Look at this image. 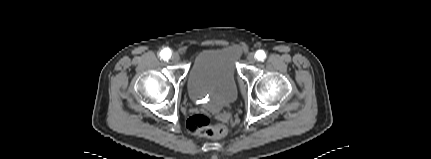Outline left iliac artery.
I'll return each instance as SVG.
<instances>
[{
	"mask_svg": "<svg viewBox=\"0 0 431 159\" xmlns=\"http://www.w3.org/2000/svg\"><path fill=\"white\" fill-rule=\"evenodd\" d=\"M256 58H257L258 60L263 61V60L266 58V54H265V52H264L263 50H258V51L256 52Z\"/></svg>",
	"mask_w": 431,
	"mask_h": 159,
	"instance_id": "obj_1",
	"label": "left iliac artery"
}]
</instances>
